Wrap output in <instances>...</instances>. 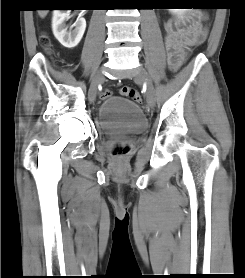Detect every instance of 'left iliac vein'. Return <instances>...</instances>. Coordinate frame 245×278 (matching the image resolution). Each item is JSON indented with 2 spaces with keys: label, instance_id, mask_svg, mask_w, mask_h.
I'll return each instance as SVG.
<instances>
[{
  "label": "left iliac vein",
  "instance_id": "left-iliac-vein-1",
  "mask_svg": "<svg viewBox=\"0 0 245 278\" xmlns=\"http://www.w3.org/2000/svg\"><path fill=\"white\" fill-rule=\"evenodd\" d=\"M133 78L136 82L146 83L147 85L146 100L150 106H153L155 104V90L146 71L144 69L137 68L133 73Z\"/></svg>",
  "mask_w": 245,
  "mask_h": 278
}]
</instances>
